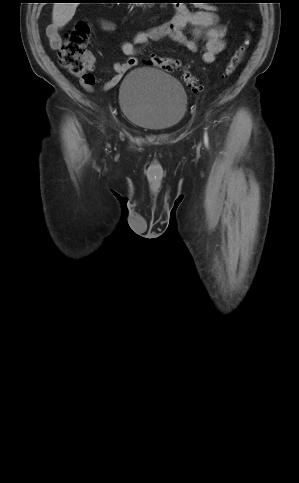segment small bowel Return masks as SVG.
<instances>
[{
	"label": "small bowel",
	"mask_w": 299,
	"mask_h": 483,
	"mask_svg": "<svg viewBox=\"0 0 299 483\" xmlns=\"http://www.w3.org/2000/svg\"><path fill=\"white\" fill-rule=\"evenodd\" d=\"M101 28L105 31H112L114 24L103 21ZM226 31L227 28L224 25L218 24L215 8L191 11L186 5L179 4L170 21L138 32L132 41L122 43L121 51L127 56V59L114 64L115 74L105 87L107 89L114 87L130 69L137 66L138 54L150 41L167 38L183 45L191 52H197L199 42L203 40L202 60L206 64H213L226 47ZM47 37L54 49H57L62 43L58 27L55 25L48 26ZM87 66L89 71L94 70L95 57L91 53L87 54Z\"/></svg>",
	"instance_id": "1"
}]
</instances>
